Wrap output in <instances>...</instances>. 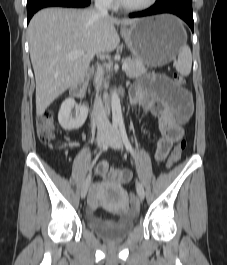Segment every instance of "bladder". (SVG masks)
I'll return each mask as SVG.
<instances>
[{"instance_id": "obj_1", "label": "bladder", "mask_w": 227, "mask_h": 265, "mask_svg": "<svg viewBox=\"0 0 227 265\" xmlns=\"http://www.w3.org/2000/svg\"><path fill=\"white\" fill-rule=\"evenodd\" d=\"M88 227L100 238L107 241H120L126 238L133 230L134 216H124L111 220L90 215L87 220Z\"/></svg>"}]
</instances>
